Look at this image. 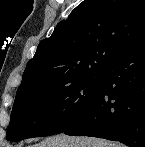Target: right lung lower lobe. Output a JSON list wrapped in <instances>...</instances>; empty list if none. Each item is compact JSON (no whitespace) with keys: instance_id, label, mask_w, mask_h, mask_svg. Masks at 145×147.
<instances>
[{"instance_id":"1","label":"right lung lower lobe","mask_w":145,"mask_h":147,"mask_svg":"<svg viewBox=\"0 0 145 147\" xmlns=\"http://www.w3.org/2000/svg\"><path fill=\"white\" fill-rule=\"evenodd\" d=\"M100 88L63 133L145 147V35L101 72Z\"/></svg>"}]
</instances>
